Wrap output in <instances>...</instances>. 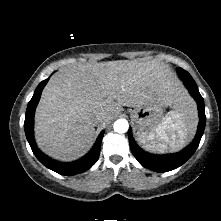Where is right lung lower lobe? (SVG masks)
Listing matches in <instances>:
<instances>
[{"mask_svg":"<svg viewBox=\"0 0 221 221\" xmlns=\"http://www.w3.org/2000/svg\"><path fill=\"white\" fill-rule=\"evenodd\" d=\"M48 80L49 79L42 81L37 86L32 99L28 103L26 115H25V122H24V129H25V134H26L27 140L30 144V147H31L34 155L47 168H49V169H51L61 175H67V176L82 173V172L90 169L98 160L99 154H100L101 141H102L104 131H102L100 133L93 148L89 151V153H87L84 157H82L81 159L76 160L74 162L61 163V162L51 159L50 157H48L47 155L42 153L38 149V147L36 146V143L34 140L33 125H34L35 109H36V106H37L38 101L40 99L41 92H42V90Z\"/></svg>","mask_w":221,"mask_h":221,"instance_id":"1","label":"right lung lower lobe"}]
</instances>
